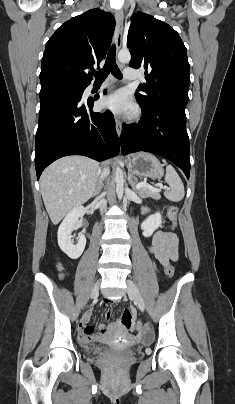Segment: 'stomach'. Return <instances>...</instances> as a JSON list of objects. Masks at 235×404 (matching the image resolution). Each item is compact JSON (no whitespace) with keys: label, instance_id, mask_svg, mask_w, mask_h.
I'll use <instances>...</instances> for the list:
<instances>
[{"label":"stomach","instance_id":"stomach-1","mask_svg":"<svg viewBox=\"0 0 235 404\" xmlns=\"http://www.w3.org/2000/svg\"><path fill=\"white\" fill-rule=\"evenodd\" d=\"M129 172L140 177L160 179L163 176V165L152 154L140 152L128 158L127 164Z\"/></svg>","mask_w":235,"mask_h":404}]
</instances>
